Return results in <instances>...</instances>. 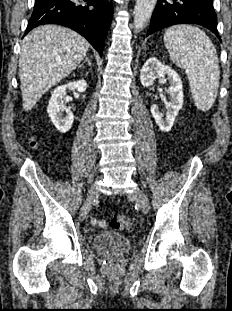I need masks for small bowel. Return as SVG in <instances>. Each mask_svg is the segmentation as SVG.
Wrapping results in <instances>:
<instances>
[{
    "label": "small bowel",
    "instance_id": "obj_1",
    "mask_svg": "<svg viewBox=\"0 0 232 311\" xmlns=\"http://www.w3.org/2000/svg\"><path fill=\"white\" fill-rule=\"evenodd\" d=\"M91 224L93 226L105 227L107 223H106L105 220H101V219H97V218H92L91 219Z\"/></svg>",
    "mask_w": 232,
    "mask_h": 311
}]
</instances>
